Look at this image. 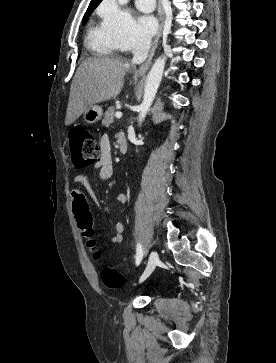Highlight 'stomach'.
<instances>
[{
	"instance_id": "obj_1",
	"label": "stomach",
	"mask_w": 276,
	"mask_h": 363,
	"mask_svg": "<svg viewBox=\"0 0 276 363\" xmlns=\"http://www.w3.org/2000/svg\"><path fill=\"white\" fill-rule=\"evenodd\" d=\"M102 115V108L98 105H92L88 107L83 113V119L88 124H94L101 120Z\"/></svg>"
}]
</instances>
